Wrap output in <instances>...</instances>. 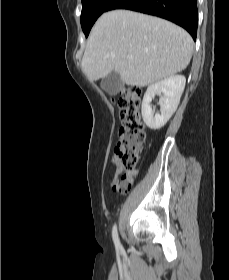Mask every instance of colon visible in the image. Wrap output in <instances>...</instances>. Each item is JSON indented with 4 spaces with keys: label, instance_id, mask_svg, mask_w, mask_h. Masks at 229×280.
I'll list each match as a JSON object with an SVG mask.
<instances>
[{
    "label": "colon",
    "instance_id": "obj_1",
    "mask_svg": "<svg viewBox=\"0 0 229 280\" xmlns=\"http://www.w3.org/2000/svg\"><path fill=\"white\" fill-rule=\"evenodd\" d=\"M141 95L142 91L138 87H125L120 92L118 106L122 125L114 148L113 162L123 172L112 185L115 191L130 190L136 174L139 152L146 138L140 111Z\"/></svg>",
    "mask_w": 229,
    "mask_h": 280
}]
</instances>
